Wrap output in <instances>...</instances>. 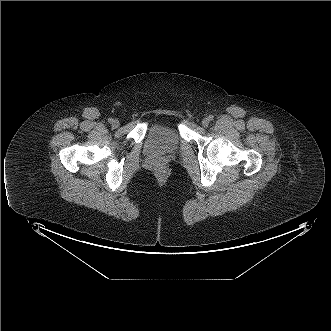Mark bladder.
Masks as SVG:
<instances>
[{
  "instance_id": "31cf9c89",
  "label": "bladder",
  "mask_w": 331,
  "mask_h": 331,
  "mask_svg": "<svg viewBox=\"0 0 331 331\" xmlns=\"http://www.w3.org/2000/svg\"><path fill=\"white\" fill-rule=\"evenodd\" d=\"M181 137L172 125L155 124L149 127L144 139V151L151 156L175 154L179 151Z\"/></svg>"
}]
</instances>
